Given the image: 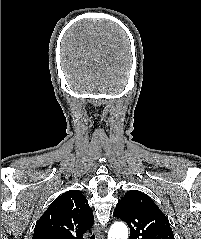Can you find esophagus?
I'll use <instances>...</instances> for the list:
<instances>
[{
    "mask_svg": "<svg viewBox=\"0 0 201 239\" xmlns=\"http://www.w3.org/2000/svg\"><path fill=\"white\" fill-rule=\"evenodd\" d=\"M96 235H97V239H105V237H104L100 228L96 229Z\"/></svg>",
    "mask_w": 201,
    "mask_h": 239,
    "instance_id": "obj_1",
    "label": "esophagus"
}]
</instances>
